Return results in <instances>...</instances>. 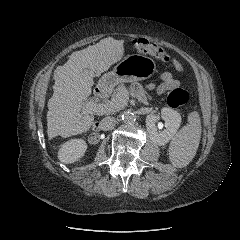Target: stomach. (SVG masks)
I'll use <instances>...</instances> for the list:
<instances>
[{"instance_id": "1", "label": "stomach", "mask_w": 240, "mask_h": 240, "mask_svg": "<svg viewBox=\"0 0 240 240\" xmlns=\"http://www.w3.org/2000/svg\"><path fill=\"white\" fill-rule=\"evenodd\" d=\"M156 71L155 61L147 56L132 54L117 63L113 71L104 74L99 82L102 87H113L120 82L145 80Z\"/></svg>"}]
</instances>
